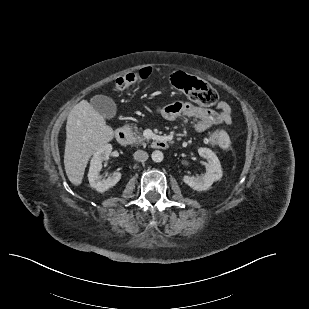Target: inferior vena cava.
<instances>
[{
    "label": "inferior vena cava",
    "mask_w": 309,
    "mask_h": 309,
    "mask_svg": "<svg viewBox=\"0 0 309 309\" xmlns=\"http://www.w3.org/2000/svg\"><path fill=\"white\" fill-rule=\"evenodd\" d=\"M134 159L139 162H144L148 159V154L143 150H137L134 153Z\"/></svg>",
    "instance_id": "1"
}]
</instances>
